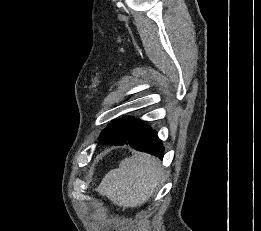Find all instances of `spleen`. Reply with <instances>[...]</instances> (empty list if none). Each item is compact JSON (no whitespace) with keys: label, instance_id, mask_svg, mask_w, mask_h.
I'll use <instances>...</instances> for the list:
<instances>
[{"label":"spleen","instance_id":"1","mask_svg":"<svg viewBox=\"0 0 261 231\" xmlns=\"http://www.w3.org/2000/svg\"><path fill=\"white\" fill-rule=\"evenodd\" d=\"M163 175V168L156 158L135 154L122 160L118 169L110 170L97 191L118 206L136 207L148 200Z\"/></svg>","mask_w":261,"mask_h":231}]
</instances>
